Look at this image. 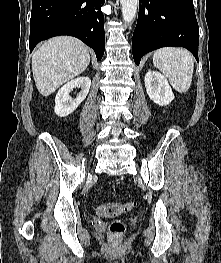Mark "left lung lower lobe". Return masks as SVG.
Wrapping results in <instances>:
<instances>
[{
	"mask_svg": "<svg viewBox=\"0 0 221 263\" xmlns=\"http://www.w3.org/2000/svg\"><path fill=\"white\" fill-rule=\"evenodd\" d=\"M199 27L193 0H139L133 33L137 65L146 53L165 46L187 48L198 61Z\"/></svg>",
	"mask_w": 221,
	"mask_h": 263,
	"instance_id": "0a47b994",
	"label": "left lung lower lobe"
}]
</instances>
